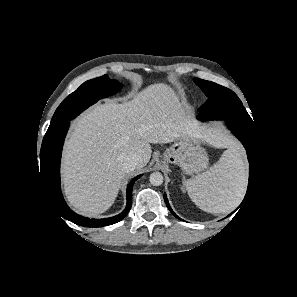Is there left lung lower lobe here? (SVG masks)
Wrapping results in <instances>:
<instances>
[{"label": "left lung lower lobe", "mask_w": 297, "mask_h": 297, "mask_svg": "<svg viewBox=\"0 0 297 297\" xmlns=\"http://www.w3.org/2000/svg\"><path fill=\"white\" fill-rule=\"evenodd\" d=\"M226 124L228 128L231 130V132L242 142L244 145L248 161L250 163L249 165V183L247 188V193L245 195L244 200L242 201L241 205L238 208H241L244 202L246 201L248 195L250 194V191L252 189V185L254 182V172H256L257 164H258V136L256 137V130L253 128H250L248 126H245L241 123L234 122L232 120L225 119ZM164 200L165 203L170 210V212L178 219H180L171 209L166 194H164ZM236 211V210H235ZM234 211V212H235ZM233 212V213H234ZM232 214V213H231ZM230 214V215H231Z\"/></svg>", "instance_id": "left-lung-lower-lobe-1"}]
</instances>
